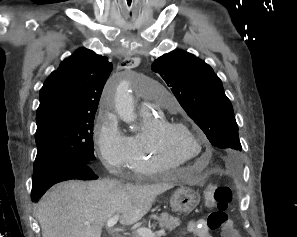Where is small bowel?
I'll return each instance as SVG.
<instances>
[{"label": "small bowel", "mask_w": 297, "mask_h": 237, "mask_svg": "<svg viewBox=\"0 0 297 237\" xmlns=\"http://www.w3.org/2000/svg\"><path fill=\"white\" fill-rule=\"evenodd\" d=\"M187 232L194 234L196 237H212L208 225L203 219L191 221L187 226Z\"/></svg>", "instance_id": "c3829d8e"}]
</instances>
